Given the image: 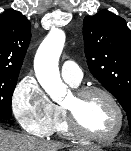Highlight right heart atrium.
<instances>
[{
  "label": "right heart atrium",
  "instance_id": "d8ad5b80",
  "mask_svg": "<svg viewBox=\"0 0 131 151\" xmlns=\"http://www.w3.org/2000/svg\"><path fill=\"white\" fill-rule=\"evenodd\" d=\"M11 108L21 128L38 137L49 135L57 116L55 105L32 75L17 83Z\"/></svg>",
  "mask_w": 131,
  "mask_h": 151
}]
</instances>
